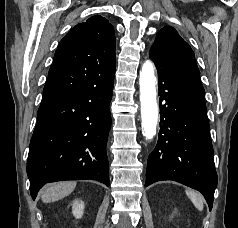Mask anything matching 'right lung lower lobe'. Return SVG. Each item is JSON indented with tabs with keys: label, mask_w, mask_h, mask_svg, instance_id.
I'll use <instances>...</instances> for the list:
<instances>
[{
	"label": "right lung lower lobe",
	"mask_w": 238,
	"mask_h": 228,
	"mask_svg": "<svg viewBox=\"0 0 238 228\" xmlns=\"http://www.w3.org/2000/svg\"><path fill=\"white\" fill-rule=\"evenodd\" d=\"M113 81L40 104L27 160L33 199L47 182L93 179L109 186Z\"/></svg>",
	"instance_id": "98d812e1"
}]
</instances>
